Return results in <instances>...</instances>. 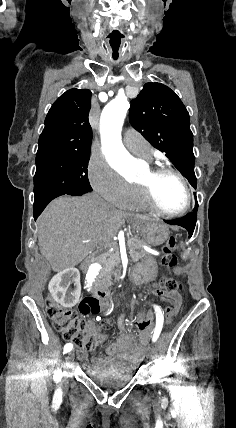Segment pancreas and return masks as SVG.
Returning a JSON list of instances; mask_svg holds the SVG:
<instances>
[{"mask_svg":"<svg viewBox=\"0 0 236 428\" xmlns=\"http://www.w3.org/2000/svg\"><path fill=\"white\" fill-rule=\"evenodd\" d=\"M129 254L133 260V262H139V260H142V258H145V256H148L149 252H145L143 250L142 246H146L145 242H142V240H137V238H130L127 242ZM99 260H101V264H106L105 268L101 270L100 280H102V286L104 288H109L111 280V270H113L114 266H117V264H120V256L116 250V254H101Z\"/></svg>","mask_w":236,"mask_h":428,"instance_id":"1","label":"pancreas"}]
</instances>
